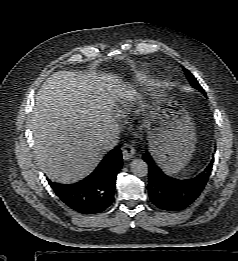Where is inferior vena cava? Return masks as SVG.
Wrapping results in <instances>:
<instances>
[{
	"instance_id": "1",
	"label": "inferior vena cava",
	"mask_w": 238,
	"mask_h": 261,
	"mask_svg": "<svg viewBox=\"0 0 238 261\" xmlns=\"http://www.w3.org/2000/svg\"><path fill=\"white\" fill-rule=\"evenodd\" d=\"M119 128L111 124L108 128L105 138L102 140V150L105 152L113 149L119 142Z\"/></svg>"
}]
</instances>
